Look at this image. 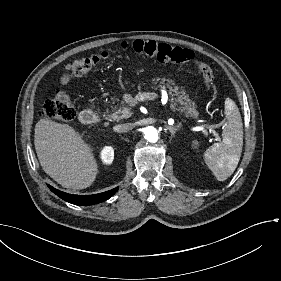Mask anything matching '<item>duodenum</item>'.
<instances>
[{"instance_id":"obj_1","label":"duodenum","mask_w":281,"mask_h":281,"mask_svg":"<svg viewBox=\"0 0 281 281\" xmlns=\"http://www.w3.org/2000/svg\"><path fill=\"white\" fill-rule=\"evenodd\" d=\"M80 120L87 125H94L98 124L101 122V116L99 113L90 110V109H85L81 114H80Z\"/></svg>"}]
</instances>
